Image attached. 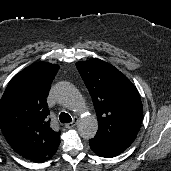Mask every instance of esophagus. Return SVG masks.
Returning a JSON list of instances; mask_svg holds the SVG:
<instances>
[{
	"label": "esophagus",
	"mask_w": 171,
	"mask_h": 171,
	"mask_svg": "<svg viewBox=\"0 0 171 171\" xmlns=\"http://www.w3.org/2000/svg\"><path fill=\"white\" fill-rule=\"evenodd\" d=\"M77 122H78V118L74 117L72 122L65 124V127L67 129H70V128L74 127L77 124Z\"/></svg>",
	"instance_id": "obj_1"
}]
</instances>
